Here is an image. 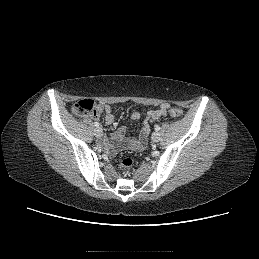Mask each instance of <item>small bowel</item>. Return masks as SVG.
<instances>
[{
  "mask_svg": "<svg viewBox=\"0 0 259 259\" xmlns=\"http://www.w3.org/2000/svg\"><path fill=\"white\" fill-rule=\"evenodd\" d=\"M169 104L162 103L158 107L154 109H150L145 113V119L142 124V128L140 134L136 138L125 139V127H119L113 134L112 142L109 143L107 140H101V146L105 148L109 153H114L119 149L128 147L135 150H141L144 148L148 135L150 133V125L149 120L160 119L167 116ZM100 113L105 114V123L107 125H112L114 123V115L112 112V108L109 105H103L99 107L98 113L94 116V118L98 117ZM131 118L133 120H139L142 118V113L139 111H134L131 114Z\"/></svg>",
  "mask_w": 259,
  "mask_h": 259,
  "instance_id": "c3829d8e",
  "label": "small bowel"
}]
</instances>
